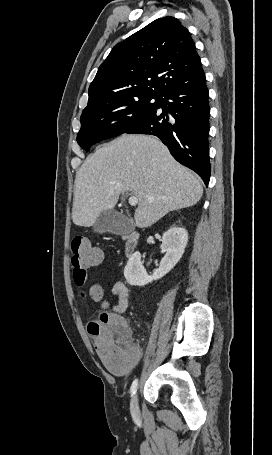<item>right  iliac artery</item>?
I'll list each match as a JSON object with an SVG mask.
<instances>
[{
  "label": "right iliac artery",
  "mask_w": 272,
  "mask_h": 455,
  "mask_svg": "<svg viewBox=\"0 0 272 455\" xmlns=\"http://www.w3.org/2000/svg\"><path fill=\"white\" fill-rule=\"evenodd\" d=\"M137 386H138V379H135L131 385V393L132 395H134L136 393V390H137Z\"/></svg>",
  "instance_id": "right-iliac-artery-1"
}]
</instances>
